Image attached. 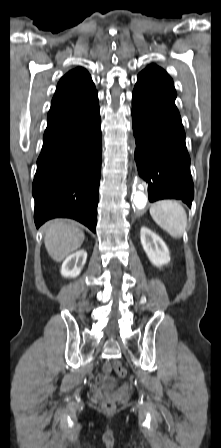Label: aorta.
<instances>
[{"instance_id": "1", "label": "aorta", "mask_w": 221, "mask_h": 448, "mask_svg": "<svg viewBox=\"0 0 221 448\" xmlns=\"http://www.w3.org/2000/svg\"><path fill=\"white\" fill-rule=\"evenodd\" d=\"M133 200H134L135 206L139 209H142L146 206L148 198L144 193L137 191L134 194Z\"/></svg>"}]
</instances>
